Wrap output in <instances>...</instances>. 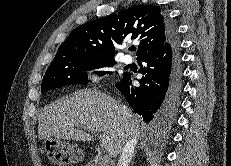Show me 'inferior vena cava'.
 Returning a JSON list of instances; mask_svg holds the SVG:
<instances>
[{
	"label": "inferior vena cava",
	"mask_w": 231,
	"mask_h": 166,
	"mask_svg": "<svg viewBox=\"0 0 231 166\" xmlns=\"http://www.w3.org/2000/svg\"><path fill=\"white\" fill-rule=\"evenodd\" d=\"M123 111L125 114H127L130 118H132V115L129 113V109L126 106H122ZM137 143V137L134 136L130 138L124 145L122 152L120 154L117 166H129L130 161L132 159L134 149Z\"/></svg>",
	"instance_id": "602c4592"
}]
</instances>
